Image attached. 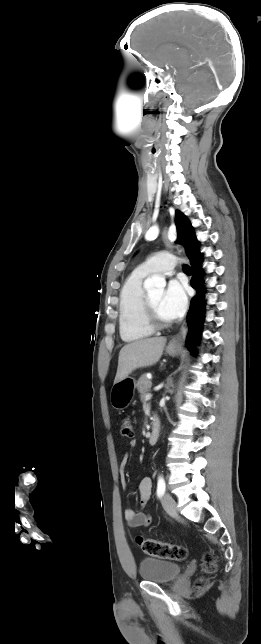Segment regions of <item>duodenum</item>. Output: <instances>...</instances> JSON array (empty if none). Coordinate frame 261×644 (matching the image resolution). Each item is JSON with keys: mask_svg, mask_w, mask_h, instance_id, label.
Wrapping results in <instances>:
<instances>
[{"mask_svg": "<svg viewBox=\"0 0 261 644\" xmlns=\"http://www.w3.org/2000/svg\"><path fill=\"white\" fill-rule=\"evenodd\" d=\"M159 436H160V422L158 419H155L148 436L149 444L151 445L155 444L158 441Z\"/></svg>", "mask_w": 261, "mask_h": 644, "instance_id": "obj_1", "label": "duodenum"}]
</instances>
